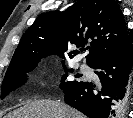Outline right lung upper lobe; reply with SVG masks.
Returning <instances> with one entry per match:
<instances>
[{
  "label": "right lung upper lobe",
  "mask_w": 133,
  "mask_h": 118,
  "mask_svg": "<svg viewBox=\"0 0 133 118\" xmlns=\"http://www.w3.org/2000/svg\"><path fill=\"white\" fill-rule=\"evenodd\" d=\"M90 65L101 54L111 51L128 40L122 12L114 0H78L65 12L40 14L23 34L8 68L41 60L51 54L64 58L68 45L83 49ZM79 51H71L70 58Z\"/></svg>",
  "instance_id": "1"
}]
</instances>
